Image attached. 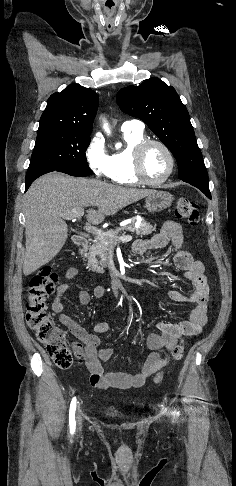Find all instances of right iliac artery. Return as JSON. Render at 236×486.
<instances>
[{"label": "right iliac artery", "mask_w": 236, "mask_h": 486, "mask_svg": "<svg viewBox=\"0 0 236 486\" xmlns=\"http://www.w3.org/2000/svg\"><path fill=\"white\" fill-rule=\"evenodd\" d=\"M75 410H76V398H73L71 404H70V410H69V426H70V433L73 434L75 431Z\"/></svg>", "instance_id": "right-iliac-artery-1"}]
</instances>
